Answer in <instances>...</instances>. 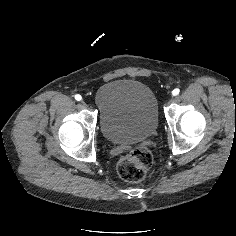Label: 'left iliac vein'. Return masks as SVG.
<instances>
[{"mask_svg":"<svg viewBox=\"0 0 236 236\" xmlns=\"http://www.w3.org/2000/svg\"><path fill=\"white\" fill-rule=\"evenodd\" d=\"M174 99H175V95H174V94H170V95L168 96V101L165 102V105H166V106H169V105H170V102L174 101Z\"/></svg>","mask_w":236,"mask_h":236,"instance_id":"left-iliac-vein-1","label":"left iliac vein"}]
</instances>
